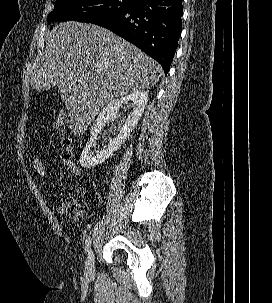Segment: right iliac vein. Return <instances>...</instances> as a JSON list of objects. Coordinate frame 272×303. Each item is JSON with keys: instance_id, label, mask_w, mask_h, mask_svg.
I'll return each instance as SVG.
<instances>
[{"instance_id": "1", "label": "right iliac vein", "mask_w": 272, "mask_h": 303, "mask_svg": "<svg viewBox=\"0 0 272 303\" xmlns=\"http://www.w3.org/2000/svg\"><path fill=\"white\" fill-rule=\"evenodd\" d=\"M84 274L86 278L90 280L93 279L95 276V257L91 249L88 252Z\"/></svg>"}]
</instances>
